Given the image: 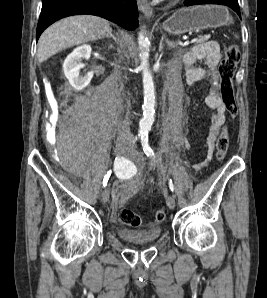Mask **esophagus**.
Wrapping results in <instances>:
<instances>
[{
  "label": "esophagus",
  "mask_w": 267,
  "mask_h": 298,
  "mask_svg": "<svg viewBox=\"0 0 267 298\" xmlns=\"http://www.w3.org/2000/svg\"><path fill=\"white\" fill-rule=\"evenodd\" d=\"M139 10L143 13L145 18L149 19L152 16V8L148 4L147 0H137Z\"/></svg>",
  "instance_id": "34e87169"
}]
</instances>
